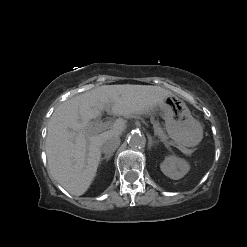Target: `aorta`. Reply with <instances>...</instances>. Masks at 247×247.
Here are the masks:
<instances>
[{
  "instance_id": "aorta-1",
  "label": "aorta",
  "mask_w": 247,
  "mask_h": 247,
  "mask_svg": "<svg viewBox=\"0 0 247 247\" xmlns=\"http://www.w3.org/2000/svg\"><path fill=\"white\" fill-rule=\"evenodd\" d=\"M127 141L131 148H141L145 145V137L139 132L131 133Z\"/></svg>"
}]
</instances>
